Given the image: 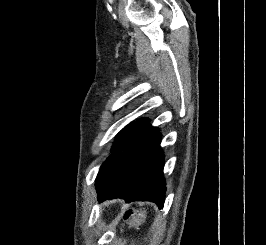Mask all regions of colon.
I'll list each match as a JSON object with an SVG mask.
<instances>
[{
  "mask_svg": "<svg viewBox=\"0 0 266 245\" xmlns=\"http://www.w3.org/2000/svg\"><path fill=\"white\" fill-rule=\"evenodd\" d=\"M135 210L134 209H128L125 214H124V225H128V226H132V227H136L139 225V221L138 218L136 217L135 214Z\"/></svg>",
  "mask_w": 266,
  "mask_h": 245,
  "instance_id": "obj_1",
  "label": "colon"
}]
</instances>
